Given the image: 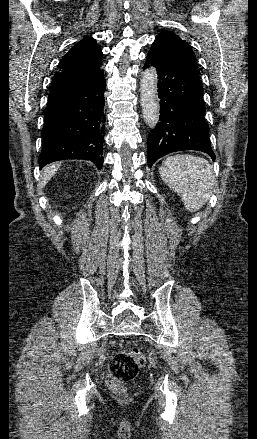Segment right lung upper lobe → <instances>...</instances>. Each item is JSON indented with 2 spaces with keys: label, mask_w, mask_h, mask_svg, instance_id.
Masks as SVG:
<instances>
[{
  "label": "right lung upper lobe",
  "mask_w": 257,
  "mask_h": 439,
  "mask_svg": "<svg viewBox=\"0 0 257 439\" xmlns=\"http://www.w3.org/2000/svg\"><path fill=\"white\" fill-rule=\"evenodd\" d=\"M102 51L96 41L85 37L62 58L50 90L72 84L98 72Z\"/></svg>",
  "instance_id": "obj_1"
}]
</instances>
